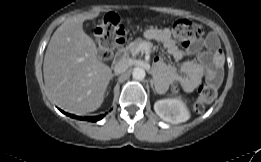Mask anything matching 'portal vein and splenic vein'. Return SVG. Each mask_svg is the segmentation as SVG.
<instances>
[{"mask_svg": "<svg viewBox=\"0 0 261 162\" xmlns=\"http://www.w3.org/2000/svg\"><path fill=\"white\" fill-rule=\"evenodd\" d=\"M140 48H141V50H146L147 46L144 44V45H141Z\"/></svg>", "mask_w": 261, "mask_h": 162, "instance_id": "portal-vein-and-splenic-vein-1", "label": "portal vein and splenic vein"}]
</instances>
